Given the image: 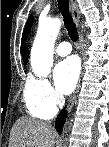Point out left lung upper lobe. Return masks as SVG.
Instances as JSON below:
<instances>
[{
  "mask_svg": "<svg viewBox=\"0 0 109 147\" xmlns=\"http://www.w3.org/2000/svg\"><path fill=\"white\" fill-rule=\"evenodd\" d=\"M32 22H33V16H30L28 21H27V24L25 26V30H24V33H23V37H22V45L24 44L25 42V38L27 37V34L31 28V25H32Z\"/></svg>",
  "mask_w": 109,
  "mask_h": 147,
  "instance_id": "1",
  "label": "left lung upper lobe"
}]
</instances>
